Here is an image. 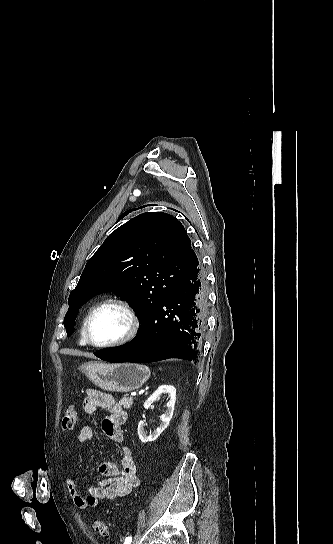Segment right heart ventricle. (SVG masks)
<instances>
[{
    "label": "right heart ventricle",
    "mask_w": 333,
    "mask_h": 544,
    "mask_svg": "<svg viewBox=\"0 0 333 544\" xmlns=\"http://www.w3.org/2000/svg\"><path fill=\"white\" fill-rule=\"evenodd\" d=\"M83 325H84V321H83V324L81 325V328H80V339H79V343L83 346L87 345V342L84 338V333H83Z\"/></svg>",
    "instance_id": "right-heart-ventricle-1"
}]
</instances>
